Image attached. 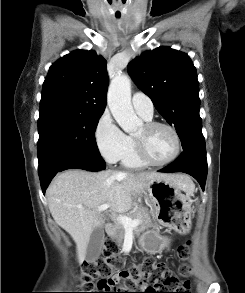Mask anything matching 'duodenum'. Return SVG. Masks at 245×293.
I'll return each mask as SVG.
<instances>
[{"instance_id": "410a0bca", "label": "duodenum", "mask_w": 245, "mask_h": 293, "mask_svg": "<svg viewBox=\"0 0 245 293\" xmlns=\"http://www.w3.org/2000/svg\"><path fill=\"white\" fill-rule=\"evenodd\" d=\"M105 231H106L107 235H113V233H114L113 226L111 224H107Z\"/></svg>"}]
</instances>
